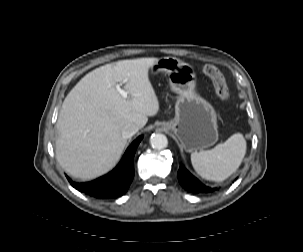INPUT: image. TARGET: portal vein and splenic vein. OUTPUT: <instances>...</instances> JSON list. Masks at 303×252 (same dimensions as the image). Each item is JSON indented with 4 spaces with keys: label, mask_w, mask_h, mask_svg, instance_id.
I'll return each mask as SVG.
<instances>
[{
    "label": "portal vein and splenic vein",
    "mask_w": 303,
    "mask_h": 252,
    "mask_svg": "<svg viewBox=\"0 0 303 252\" xmlns=\"http://www.w3.org/2000/svg\"><path fill=\"white\" fill-rule=\"evenodd\" d=\"M116 89H117V91L121 94V96H122L123 98L126 99V98L128 97V93H127L125 90L121 89V87H120L119 84L116 85Z\"/></svg>",
    "instance_id": "18ae733b"
}]
</instances>
